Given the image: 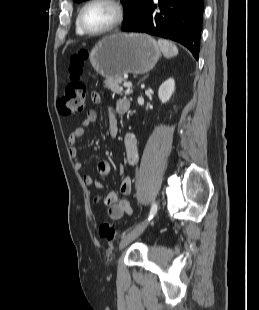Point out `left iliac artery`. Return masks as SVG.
<instances>
[{
	"mask_svg": "<svg viewBox=\"0 0 259 310\" xmlns=\"http://www.w3.org/2000/svg\"><path fill=\"white\" fill-rule=\"evenodd\" d=\"M156 212H157V204L153 203L151 206L149 216H148V220H151L153 218V216L156 214Z\"/></svg>",
	"mask_w": 259,
	"mask_h": 310,
	"instance_id": "1",
	"label": "left iliac artery"
}]
</instances>
